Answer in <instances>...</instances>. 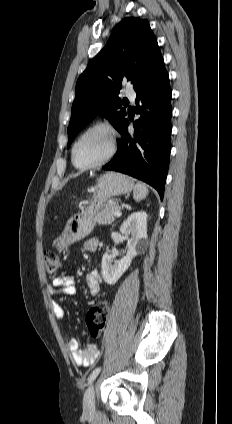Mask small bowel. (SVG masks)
Instances as JSON below:
<instances>
[{
    "instance_id": "small-bowel-1",
    "label": "small bowel",
    "mask_w": 232,
    "mask_h": 424,
    "mask_svg": "<svg viewBox=\"0 0 232 424\" xmlns=\"http://www.w3.org/2000/svg\"><path fill=\"white\" fill-rule=\"evenodd\" d=\"M97 247L98 240L96 238H89L83 244V249L87 251H94ZM85 280L89 293L92 295L98 294L101 289L99 272L91 271L87 273ZM48 291L52 296H75L77 294L75 279L68 275L58 276L52 280ZM51 307L57 319L64 320L66 318V310L58 301L52 299ZM66 344L73 362L79 366L89 367L100 357L101 351L95 344H89L85 349H81L78 341L74 338H67Z\"/></svg>"
}]
</instances>
